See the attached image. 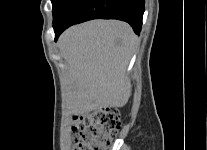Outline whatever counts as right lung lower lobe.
<instances>
[{
	"label": "right lung lower lobe",
	"mask_w": 207,
	"mask_h": 150,
	"mask_svg": "<svg viewBox=\"0 0 207 150\" xmlns=\"http://www.w3.org/2000/svg\"><path fill=\"white\" fill-rule=\"evenodd\" d=\"M144 0H70L53 20L55 40L69 26L91 19H119L139 34Z\"/></svg>",
	"instance_id": "obj_1"
}]
</instances>
